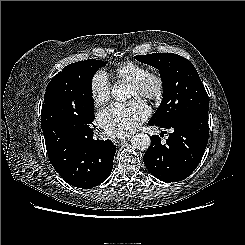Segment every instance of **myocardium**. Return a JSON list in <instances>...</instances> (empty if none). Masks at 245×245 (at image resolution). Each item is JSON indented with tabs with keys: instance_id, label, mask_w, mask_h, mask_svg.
<instances>
[{
	"instance_id": "1",
	"label": "myocardium",
	"mask_w": 245,
	"mask_h": 245,
	"mask_svg": "<svg viewBox=\"0 0 245 245\" xmlns=\"http://www.w3.org/2000/svg\"><path fill=\"white\" fill-rule=\"evenodd\" d=\"M138 95L148 100H158L164 91V80L157 72H146L138 79L129 83Z\"/></svg>"
}]
</instances>
